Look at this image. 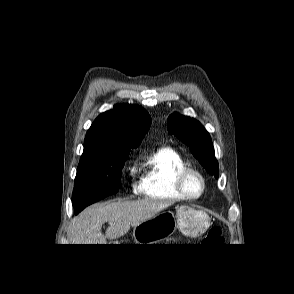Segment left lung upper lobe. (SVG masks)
Wrapping results in <instances>:
<instances>
[{"mask_svg": "<svg viewBox=\"0 0 294 294\" xmlns=\"http://www.w3.org/2000/svg\"><path fill=\"white\" fill-rule=\"evenodd\" d=\"M167 124L168 132L189 146L194 157L206 171L218 178V162L211 137L206 129L197 120L178 114L170 115Z\"/></svg>", "mask_w": 294, "mask_h": 294, "instance_id": "5c2ea615", "label": "left lung upper lobe"}]
</instances>
